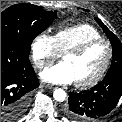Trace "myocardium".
I'll list each match as a JSON object with an SVG mask.
<instances>
[{
    "label": "myocardium",
    "mask_w": 122,
    "mask_h": 122,
    "mask_svg": "<svg viewBox=\"0 0 122 122\" xmlns=\"http://www.w3.org/2000/svg\"><path fill=\"white\" fill-rule=\"evenodd\" d=\"M100 43L105 44L107 47L106 59L102 65L101 69L94 77H92L91 79L84 81V82H75V86L79 89H87V88L93 87L104 78L105 74L107 73V71L109 69L112 58H113L112 44L109 40L102 38V37L96 38V39H90V40H87V41L81 43L80 45H78L74 48L67 50L65 53H63V58L67 55L79 56V55L83 54L84 52H86L92 46H94L96 44H100Z\"/></svg>",
    "instance_id": "myocardium-1"
}]
</instances>
